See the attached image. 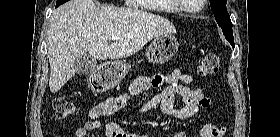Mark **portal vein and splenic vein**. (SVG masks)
<instances>
[{"instance_id":"portal-vein-and-splenic-vein-1","label":"portal vein and splenic vein","mask_w":280,"mask_h":137,"mask_svg":"<svg viewBox=\"0 0 280 137\" xmlns=\"http://www.w3.org/2000/svg\"><path fill=\"white\" fill-rule=\"evenodd\" d=\"M111 39L114 40V41H115V40H118V39H119V36H118V35H113Z\"/></svg>"}]
</instances>
